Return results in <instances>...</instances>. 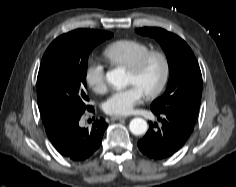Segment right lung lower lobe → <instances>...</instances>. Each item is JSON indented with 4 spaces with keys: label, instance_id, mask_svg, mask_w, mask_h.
Masks as SVG:
<instances>
[{
    "label": "right lung lower lobe",
    "instance_id": "1",
    "mask_svg": "<svg viewBox=\"0 0 236 187\" xmlns=\"http://www.w3.org/2000/svg\"><path fill=\"white\" fill-rule=\"evenodd\" d=\"M88 111L93 112V107ZM80 117L62 126L56 136L50 140L62 156L74 162L85 161L97 151L108 126L105 120L100 118L91 129L81 128Z\"/></svg>",
    "mask_w": 236,
    "mask_h": 187
}]
</instances>
